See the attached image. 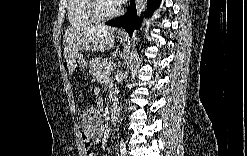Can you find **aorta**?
<instances>
[{"instance_id": "obj_1", "label": "aorta", "mask_w": 247, "mask_h": 156, "mask_svg": "<svg viewBox=\"0 0 247 156\" xmlns=\"http://www.w3.org/2000/svg\"><path fill=\"white\" fill-rule=\"evenodd\" d=\"M145 0H136L135 5H136V11H137V16H141V13L145 7ZM137 39V30L133 32V43H135V40ZM124 77H127V72H125Z\"/></svg>"}]
</instances>
